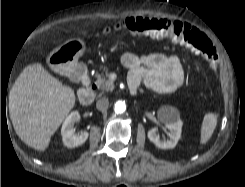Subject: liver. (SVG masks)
<instances>
[{
	"instance_id": "liver-1",
	"label": "liver",
	"mask_w": 245,
	"mask_h": 187,
	"mask_svg": "<svg viewBox=\"0 0 245 187\" xmlns=\"http://www.w3.org/2000/svg\"><path fill=\"white\" fill-rule=\"evenodd\" d=\"M74 90L49 74L41 63L28 65L9 94L14 130L29 147L44 151L75 105Z\"/></svg>"
}]
</instances>
